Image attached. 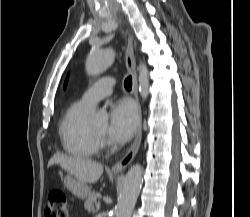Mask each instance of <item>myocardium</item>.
<instances>
[{"instance_id":"obj_1","label":"myocardium","mask_w":250,"mask_h":217,"mask_svg":"<svg viewBox=\"0 0 250 217\" xmlns=\"http://www.w3.org/2000/svg\"><path fill=\"white\" fill-rule=\"evenodd\" d=\"M90 129H91L92 134L96 137V139L99 142L104 141L105 135H102V134L98 133L97 131H95L94 128L91 125H90Z\"/></svg>"}]
</instances>
